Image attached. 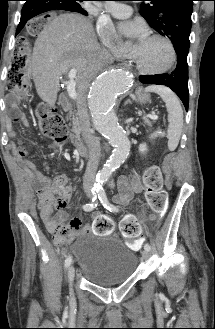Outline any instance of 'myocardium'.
<instances>
[{
  "label": "myocardium",
  "instance_id": "obj_1",
  "mask_svg": "<svg viewBox=\"0 0 215 329\" xmlns=\"http://www.w3.org/2000/svg\"><path fill=\"white\" fill-rule=\"evenodd\" d=\"M150 38L162 40L163 42H165L167 44V46L169 47L170 52H171V59H170V62L168 63V65L165 66L164 68L158 69V70L146 69L137 61V59H136V57L133 53H131V61L134 64V66L136 67V69L142 74H145V75L165 74V73L169 72L170 70H172L173 67L175 66L176 62H177L176 47H175L174 43L172 42V40L169 39L168 37L164 36V35L154 34V35H151Z\"/></svg>",
  "mask_w": 215,
  "mask_h": 329
}]
</instances>
